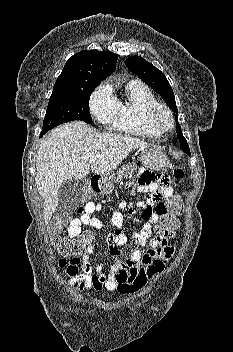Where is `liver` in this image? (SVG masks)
Instances as JSON below:
<instances>
[{
  "mask_svg": "<svg viewBox=\"0 0 233 352\" xmlns=\"http://www.w3.org/2000/svg\"><path fill=\"white\" fill-rule=\"evenodd\" d=\"M146 145L137 138L99 133L81 121L53 129L42 141L36 160L35 181L37 190L45 201V224L50 221L58 206V190L64 181L83 180L90 168L96 175H108L131 151ZM91 156H97L94 163L89 162Z\"/></svg>",
  "mask_w": 233,
  "mask_h": 352,
  "instance_id": "1",
  "label": "liver"
}]
</instances>
